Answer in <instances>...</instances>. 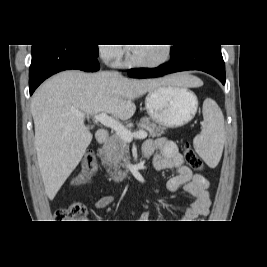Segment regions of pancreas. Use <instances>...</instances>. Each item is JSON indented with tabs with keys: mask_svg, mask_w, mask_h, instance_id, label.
I'll return each instance as SVG.
<instances>
[{
	"mask_svg": "<svg viewBox=\"0 0 267 267\" xmlns=\"http://www.w3.org/2000/svg\"><path fill=\"white\" fill-rule=\"evenodd\" d=\"M139 128L147 130L149 132V136L152 138L161 136L165 130L164 127L150 122L148 118H143L141 120ZM102 152V163L105 167H107V172L110 175L120 174L121 168H125L126 163L130 159L127 142L116 133L113 134L105 143Z\"/></svg>",
	"mask_w": 267,
	"mask_h": 267,
	"instance_id": "obj_1",
	"label": "pancreas"
}]
</instances>
